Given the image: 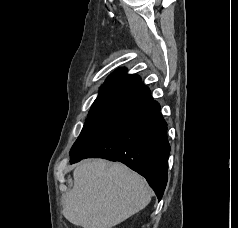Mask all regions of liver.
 <instances>
[{"instance_id":"liver-1","label":"liver","mask_w":238,"mask_h":228,"mask_svg":"<svg viewBox=\"0 0 238 228\" xmlns=\"http://www.w3.org/2000/svg\"><path fill=\"white\" fill-rule=\"evenodd\" d=\"M63 215L83 228H112L145 208L152 193L143 177L121 163L85 160L73 172Z\"/></svg>"}]
</instances>
